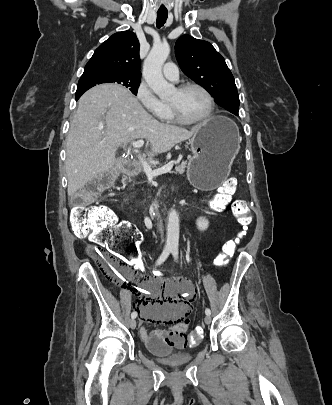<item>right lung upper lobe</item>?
Returning a JSON list of instances; mask_svg holds the SVG:
<instances>
[{
  "instance_id": "1",
  "label": "right lung upper lobe",
  "mask_w": 332,
  "mask_h": 405,
  "mask_svg": "<svg viewBox=\"0 0 332 405\" xmlns=\"http://www.w3.org/2000/svg\"><path fill=\"white\" fill-rule=\"evenodd\" d=\"M139 47L135 33L117 32L95 50L84 72L110 70L141 78Z\"/></svg>"
}]
</instances>
